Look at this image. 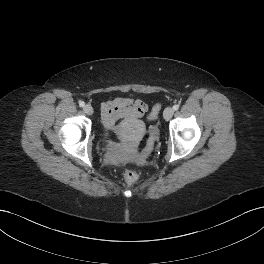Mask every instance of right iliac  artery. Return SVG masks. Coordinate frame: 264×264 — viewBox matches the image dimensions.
<instances>
[{"instance_id": "obj_1", "label": "right iliac artery", "mask_w": 264, "mask_h": 264, "mask_svg": "<svg viewBox=\"0 0 264 264\" xmlns=\"http://www.w3.org/2000/svg\"><path fill=\"white\" fill-rule=\"evenodd\" d=\"M85 103L83 101H79V106L84 107Z\"/></svg>"}]
</instances>
